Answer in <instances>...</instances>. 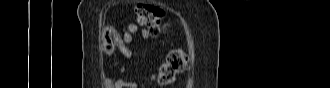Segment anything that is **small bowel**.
Listing matches in <instances>:
<instances>
[{
  "mask_svg": "<svg viewBox=\"0 0 330 88\" xmlns=\"http://www.w3.org/2000/svg\"><path fill=\"white\" fill-rule=\"evenodd\" d=\"M139 34L142 39H148L150 34L145 29H140L138 25L130 23L126 26L119 42L117 43L118 51L126 58L133 57V52L129 48V44L133 43L134 36ZM107 84L110 88H136L135 82H130L124 79H112L107 80Z\"/></svg>",
  "mask_w": 330,
  "mask_h": 88,
  "instance_id": "c3829d8e",
  "label": "small bowel"
}]
</instances>
